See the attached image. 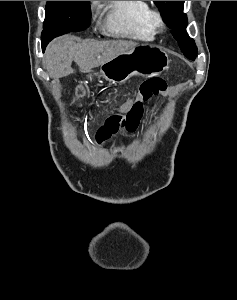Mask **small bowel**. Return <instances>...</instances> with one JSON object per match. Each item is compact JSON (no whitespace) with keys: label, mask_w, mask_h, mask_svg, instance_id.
I'll list each match as a JSON object with an SVG mask.
<instances>
[{"label":"small bowel","mask_w":237,"mask_h":300,"mask_svg":"<svg viewBox=\"0 0 237 300\" xmlns=\"http://www.w3.org/2000/svg\"><path fill=\"white\" fill-rule=\"evenodd\" d=\"M175 92V88H169L165 93H163L164 96H169L170 94ZM138 98L136 97L134 100H130L127 103H125L121 108L120 111L125 112L128 111L129 108L131 107L132 103L137 100Z\"/></svg>","instance_id":"1"}]
</instances>
